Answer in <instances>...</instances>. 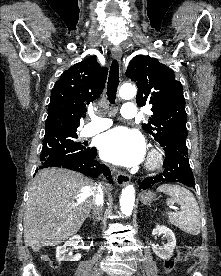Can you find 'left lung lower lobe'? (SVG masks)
<instances>
[{"mask_svg": "<svg viewBox=\"0 0 221 276\" xmlns=\"http://www.w3.org/2000/svg\"><path fill=\"white\" fill-rule=\"evenodd\" d=\"M166 158L163 163V172L154 176L147 177L140 182V189H148L156 183L180 182L186 186L194 187V177L190 168L187 154L179 152L165 153Z\"/></svg>", "mask_w": 221, "mask_h": 276, "instance_id": "obj_1", "label": "left lung lower lobe"}]
</instances>
